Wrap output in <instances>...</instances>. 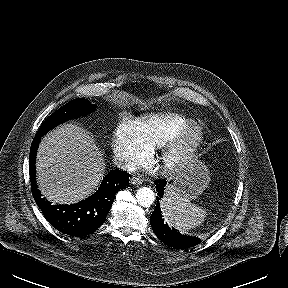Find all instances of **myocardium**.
<instances>
[{
	"label": "myocardium",
	"instance_id": "myocardium-1",
	"mask_svg": "<svg viewBox=\"0 0 288 288\" xmlns=\"http://www.w3.org/2000/svg\"><path fill=\"white\" fill-rule=\"evenodd\" d=\"M206 129L201 121L190 120L161 146L160 160L171 174L185 171L194 163L204 142Z\"/></svg>",
	"mask_w": 288,
	"mask_h": 288
}]
</instances>
